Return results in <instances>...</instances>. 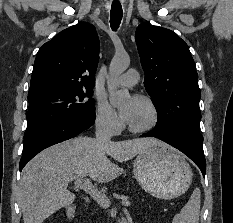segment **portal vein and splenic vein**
<instances>
[{"label": "portal vein and splenic vein", "mask_w": 233, "mask_h": 223, "mask_svg": "<svg viewBox=\"0 0 233 223\" xmlns=\"http://www.w3.org/2000/svg\"><path fill=\"white\" fill-rule=\"evenodd\" d=\"M73 183L75 187H80V189H88L87 193L93 197L94 201H97L99 205H103V207H108L110 205L111 201L103 191H99V189H96L95 185H93L92 181L90 179H87V177H79V179H73ZM128 201H122V206H128Z\"/></svg>", "instance_id": "portal-vein-and-splenic-vein-1"}]
</instances>
